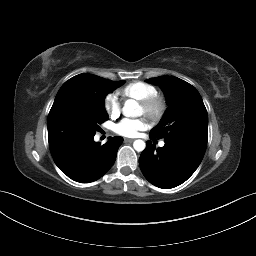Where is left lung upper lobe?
<instances>
[{
  "label": "left lung upper lobe",
  "instance_id": "5c2ea615",
  "mask_svg": "<svg viewBox=\"0 0 256 256\" xmlns=\"http://www.w3.org/2000/svg\"><path fill=\"white\" fill-rule=\"evenodd\" d=\"M146 81L161 87L168 104L160 123L150 131V137L164 138L165 142L184 144L205 153L208 115L196 88L174 76H160Z\"/></svg>",
  "mask_w": 256,
  "mask_h": 256
}]
</instances>
